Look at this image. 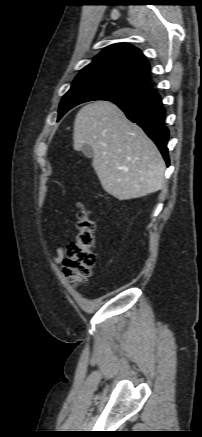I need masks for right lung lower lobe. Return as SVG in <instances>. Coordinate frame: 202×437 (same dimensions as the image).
Listing matches in <instances>:
<instances>
[{"label": "right lung lower lobe", "mask_w": 202, "mask_h": 437, "mask_svg": "<svg viewBox=\"0 0 202 437\" xmlns=\"http://www.w3.org/2000/svg\"><path fill=\"white\" fill-rule=\"evenodd\" d=\"M119 106L128 119L136 122L160 149L167 166H169L168 148L166 146L169 131L164 125L165 108L155 89L131 98L111 101Z\"/></svg>", "instance_id": "98d812e1"}]
</instances>
